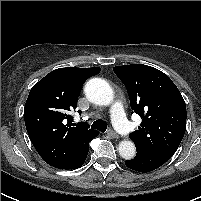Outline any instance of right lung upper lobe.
Returning a JSON list of instances; mask_svg holds the SVG:
<instances>
[{
  "instance_id": "obj_1",
  "label": "right lung upper lobe",
  "mask_w": 201,
  "mask_h": 201,
  "mask_svg": "<svg viewBox=\"0 0 201 201\" xmlns=\"http://www.w3.org/2000/svg\"><path fill=\"white\" fill-rule=\"evenodd\" d=\"M101 68H59L37 82L25 104L24 119L31 142L49 165L75 164L98 132L86 123L75 126L68 112L77 107L82 85Z\"/></svg>"
}]
</instances>
